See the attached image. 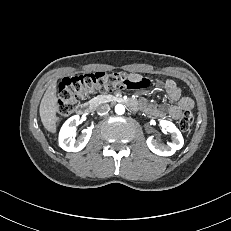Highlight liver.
<instances>
[{
	"label": "liver",
	"instance_id": "6515ba94",
	"mask_svg": "<svg viewBox=\"0 0 231 231\" xmlns=\"http://www.w3.org/2000/svg\"><path fill=\"white\" fill-rule=\"evenodd\" d=\"M56 80L47 88L39 107L41 122L44 128L51 132H56V122L58 112Z\"/></svg>",
	"mask_w": 231,
	"mask_h": 231
}]
</instances>
